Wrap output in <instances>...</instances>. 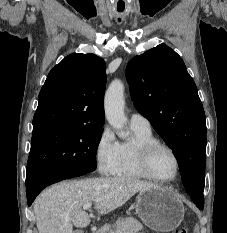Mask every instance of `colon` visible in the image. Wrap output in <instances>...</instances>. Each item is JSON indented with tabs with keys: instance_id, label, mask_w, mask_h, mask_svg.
I'll return each mask as SVG.
<instances>
[{
	"instance_id": "1",
	"label": "colon",
	"mask_w": 227,
	"mask_h": 233,
	"mask_svg": "<svg viewBox=\"0 0 227 233\" xmlns=\"http://www.w3.org/2000/svg\"><path fill=\"white\" fill-rule=\"evenodd\" d=\"M173 233H188V230L186 227H179Z\"/></svg>"
}]
</instances>
